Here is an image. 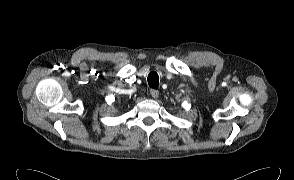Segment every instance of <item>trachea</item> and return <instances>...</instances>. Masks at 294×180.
I'll return each mask as SVG.
<instances>
[{"label":"trachea","instance_id":"trachea-1","mask_svg":"<svg viewBox=\"0 0 294 180\" xmlns=\"http://www.w3.org/2000/svg\"><path fill=\"white\" fill-rule=\"evenodd\" d=\"M148 85L151 88L157 89L159 85V76L156 72H151L148 75Z\"/></svg>","mask_w":294,"mask_h":180}]
</instances>
